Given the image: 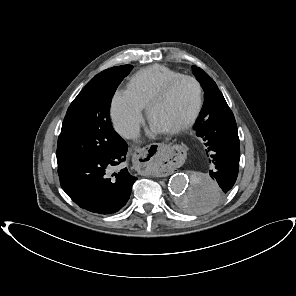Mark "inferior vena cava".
<instances>
[{
	"mask_svg": "<svg viewBox=\"0 0 296 296\" xmlns=\"http://www.w3.org/2000/svg\"><path fill=\"white\" fill-rule=\"evenodd\" d=\"M139 132H140L139 126H132L125 130L124 136L126 138H134L139 134Z\"/></svg>",
	"mask_w": 296,
	"mask_h": 296,
	"instance_id": "obj_1",
	"label": "inferior vena cava"
}]
</instances>
